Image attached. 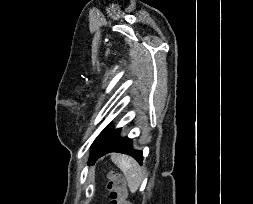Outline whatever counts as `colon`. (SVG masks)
Instances as JSON below:
<instances>
[{"label": "colon", "instance_id": "5ec220e1", "mask_svg": "<svg viewBox=\"0 0 253 204\" xmlns=\"http://www.w3.org/2000/svg\"><path fill=\"white\" fill-rule=\"evenodd\" d=\"M107 177L110 204H130L122 177L115 173H109Z\"/></svg>", "mask_w": 253, "mask_h": 204}]
</instances>
